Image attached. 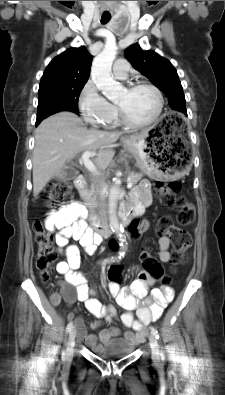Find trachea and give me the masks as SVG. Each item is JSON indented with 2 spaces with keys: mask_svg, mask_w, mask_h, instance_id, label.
<instances>
[{
  "mask_svg": "<svg viewBox=\"0 0 225 395\" xmlns=\"http://www.w3.org/2000/svg\"><path fill=\"white\" fill-rule=\"evenodd\" d=\"M111 15L110 14H102L101 16V23L106 24L110 21Z\"/></svg>",
  "mask_w": 225,
  "mask_h": 395,
  "instance_id": "3493384b",
  "label": "trachea"
}]
</instances>
